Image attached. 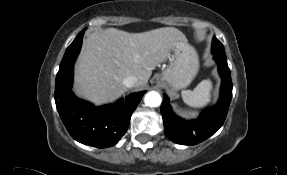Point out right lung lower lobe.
<instances>
[{
    "instance_id": "right-lung-lower-lobe-1",
    "label": "right lung lower lobe",
    "mask_w": 287,
    "mask_h": 175,
    "mask_svg": "<svg viewBox=\"0 0 287 175\" xmlns=\"http://www.w3.org/2000/svg\"><path fill=\"white\" fill-rule=\"evenodd\" d=\"M84 30L67 48L55 82V103L69 134L78 142L97 147L113 146L125 134L131 115L146 91L137 92L113 105L95 107L78 99L71 90L73 68L82 45Z\"/></svg>"
}]
</instances>
